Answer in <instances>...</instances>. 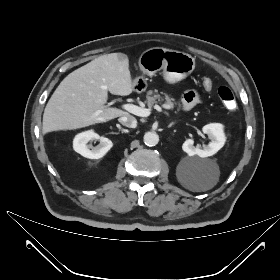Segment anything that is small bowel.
Wrapping results in <instances>:
<instances>
[{
    "label": "small bowel",
    "mask_w": 280,
    "mask_h": 280,
    "mask_svg": "<svg viewBox=\"0 0 280 280\" xmlns=\"http://www.w3.org/2000/svg\"><path fill=\"white\" fill-rule=\"evenodd\" d=\"M200 101L199 97L194 93H188L185 95L182 101V108L184 110H188L192 108L194 105H196Z\"/></svg>",
    "instance_id": "c3829d8e"
}]
</instances>
